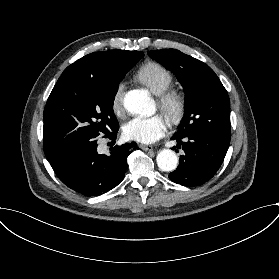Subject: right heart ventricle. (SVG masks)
I'll use <instances>...</instances> for the list:
<instances>
[{"mask_svg":"<svg viewBox=\"0 0 279 279\" xmlns=\"http://www.w3.org/2000/svg\"><path fill=\"white\" fill-rule=\"evenodd\" d=\"M137 79L153 93L160 94L171 87L174 82L172 72L155 61L142 64L136 73Z\"/></svg>","mask_w":279,"mask_h":279,"instance_id":"right-heart-ventricle-1","label":"right heart ventricle"}]
</instances>
